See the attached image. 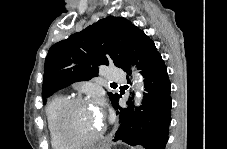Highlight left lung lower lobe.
<instances>
[{"label": "left lung lower lobe", "mask_w": 227, "mask_h": 149, "mask_svg": "<svg viewBox=\"0 0 227 149\" xmlns=\"http://www.w3.org/2000/svg\"><path fill=\"white\" fill-rule=\"evenodd\" d=\"M130 64L142 70L145 91L142 106L135 108L132 98L128 107L119 106L118 95L112 102L120 116V126L114 141L121 140L132 146L146 149H164L168 141L171 122V83L167 68L154 42L136 28L129 40L128 53L123 70L130 72ZM133 97V96H132Z\"/></svg>", "instance_id": "left-lung-lower-lobe-1"}]
</instances>
